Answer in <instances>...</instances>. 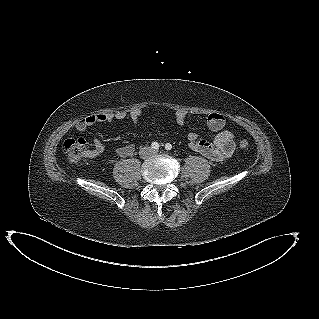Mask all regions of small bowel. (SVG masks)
Masks as SVG:
<instances>
[{
	"label": "small bowel",
	"instance_id": "obj_1",
	"mask_svg": "<svg viewBox=\"0 0 319 319\" xmlns=\"http://www.w3.org/2000/svg\"><path fill=\"white\" fill-rule=\"evenodd\" d=\"M142 110L134 109L129 114L125 111H115L99 113L87 116L85 119L77 123L76 130L78 132H84L89 127L97 123H109L118 120H123L127 116L130 117L134 124H138ZM176 122L179 125H183L187 120V113L183 110H177L174 112ZM206 123L208 127L215 132V136L212 140L200 138L195 132H190L187 136L189 147L203 155L204 157L221 162L232 156L235 151V137L234 134L225 129V118L220 113H210L207 115ZM94 149L92 150L93 156L100 155L104 149V143L99 137H95L93 141ZM135 153V145L133 143L126 144L114 149V155L118 158L130 157Z\"/></svg>",
	"mask_w": 319,
	"mask_h": 319
}]
</instances>
